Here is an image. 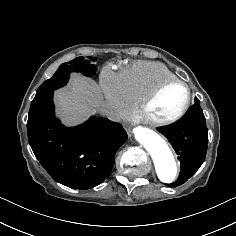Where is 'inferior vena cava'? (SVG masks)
<instances>
[{
    "instance_id": "obj_1",
    "label": "inferior vena cava",
    "mask_w": 236,
    "mask_h": 236,
    "mask_svg": "<svg viewBox=\"0 0 236 236\" xmlns=\"http://www.w3.org/2000/svg\"><path fill=\"white\" fill-rule=\"evenodd\" d=\"M98 108L95 106L96 111L104 117H107L110 120H114V112L111 108L105 107L102 105H97Z\"/></svg>"
}]
</instances>
